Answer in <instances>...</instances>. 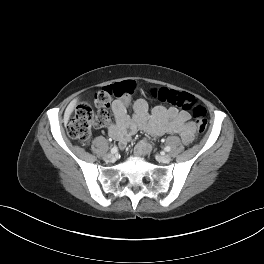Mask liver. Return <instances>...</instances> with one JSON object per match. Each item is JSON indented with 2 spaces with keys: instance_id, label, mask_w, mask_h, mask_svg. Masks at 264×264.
I'll return each instance as SVG.
<instances>
[{
  "instance_id": "liver-1",
  "label": "liver",
  "mask_w": 264,
  "mask_h": 264,
  "mask_svg": "<svg viewBox=\"0 0 264 264\" xmlns=\"http://www.w3.org/2000/svg\"><path fill=\"white\" fill-rule=\"evenodd\" d=\"M77 102H78V99L75 98L67 106L65 113H64V123L68 122L69 117L72 114L73 110L75 109Z\"/></svg>"
}]
</instances>
